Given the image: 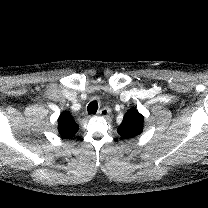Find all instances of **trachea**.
I'll list each match as a JSON object with an SVG mask.
<instances>
[{"label": "trachea", "mask_w": 208, "mask_h": 208, "mask_svg": "<svg viewBox=\"0 0 208 208\" xmlns=\"http://www.w3.org/2000/svg\"><path fill=\"white\" fill-rule=\"evenodd\" d=\"M98 110V103L97 101H92L87 107V111L89 114H96Z\"/></svg>", "instance_id": "obj_1"}]
</instances>
